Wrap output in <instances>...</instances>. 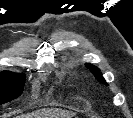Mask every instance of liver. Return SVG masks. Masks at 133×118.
<instances>
[{
  "label": "liver",
  "mask_w": 133,
  "mask_h": 118,
  "mask_svg": "<svg viewBox=\"0 0 133 118\" xmlns=\"http://www.w3.org/2000/svg\"><path fill=\"white\" fill-rule=\"evenodd\" d=\"M57 116H61L63 118H70L74 116V113H70L67 111H62L60 114L56 111L51 110H38L36 112H32L30 114L23 115L21 118H56Z\"/></svg>",
  "instance_id": "liver-1"
}]
</instances>
